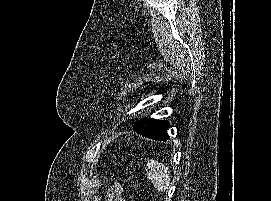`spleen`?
<instances>
[{
	"label": "spleen",
	"instance_id": "3e777b00",
	"mask_svg": "<svg viewBox=\"0 0 271 201\" xmlns=\"http://www.w3.org/2000/svg\"><path fill=\"white\" fill-rule=\"evenodd\" d=\"M145 170L148 178L159 192H165L170 186V173L168 168L157 160L147 162Z\"/></svg>",
	"mask_w": 271,
	"mask_h": 201
}]
</instances>
